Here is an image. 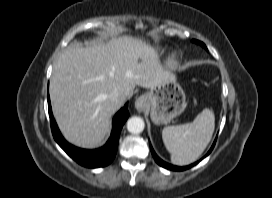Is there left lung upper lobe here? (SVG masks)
<instances>
[{"instance_id": "obj_1", "label": "left lung upper lobe", "mask_w": 272, "mask_h": 198, "mask_svg": "<svg viewBox=\"0 0 272 198\" xmlns=\"http://www.w3.org/2000/svg\"><path fill=\"white\" fill-rule=\"evenodd\" d=\"M194 42H195V43H198V44H200V45H202L203 47H205V44L202 43V42H200V41L194 40Z\"/></svg>"}]
</instances>
